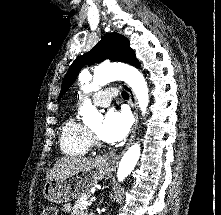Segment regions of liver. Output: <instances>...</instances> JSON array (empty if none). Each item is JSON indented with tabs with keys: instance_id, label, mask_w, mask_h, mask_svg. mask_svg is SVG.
Listing matches in <instances>:
<instances>
[{
	"instance_id": "obj_1",
	"label": "liver",
	"mask_w": 221,
	"mask_h": 215,
	"mask_svg": "<svg viewBox=\"0 0 221 215\" xmlns=\"http://www.w3.org/2000/svg\"><path fill=\"white\" fill-rule=\"evenodd\" d=\"M96 160L86 157L65 156L56 161L53 168L48 171L46 180L72 176L77 172L88 168Z\"/></svg>"
}]
</instances>
